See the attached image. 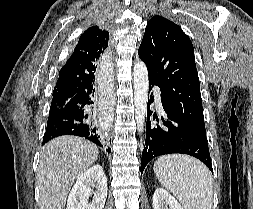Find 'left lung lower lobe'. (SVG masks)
I'll return each mask as SVG.
<instances>
[{
  "mask_svg": "<svg viewBox=\"0 0 253 209\" xmlns=\"http://www.w3.org/2000/svg\"><path fill=\"white\" fill-rule=\"evenodd\" d=\"M158 84L149 78V92ZM161 102L164 116L159 119L150 110L154 97L148 99L147 127L144 150L142 152L141 174L153 158L172 153H182L194 156L201 160L213 172L206 134L199 132L185 123L165 102L161 91ZM156 120L159 124L152 122Z\"/></svg>",
  "mask_w": 253,
  "mask_h": 209,
  "instance_id": "obj_1",
  "label": "left lung lower lobe"
}]
</instances>
